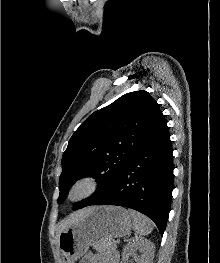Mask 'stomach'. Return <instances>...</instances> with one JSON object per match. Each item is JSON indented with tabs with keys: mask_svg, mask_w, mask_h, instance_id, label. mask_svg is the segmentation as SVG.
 Masks as SVG:
<instances>
[{
	"mask_svg": "<svg viewBox=\"0 0 220 263\" xmlns=\"http://www.w3.org/2000/svg\"><path fill=\"white\" fill-rule=\"evenodd\" d=\"M132 228L129 212L119 206L93 207L79 221L63 230L58 238L62 263H75L89 246L100 249Z\"/></svg>",
	"mask_w": 220,
	"mask_h": 263,
	"instance_id": "obj_1",
	"label": "stomach"
}]
</instances>
